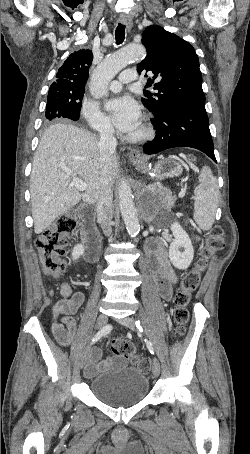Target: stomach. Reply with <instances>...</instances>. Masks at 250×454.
<instances>
[{"label":"stomach","mask_w":250,"mask_h":454,"mask_svg":"<svg viewBox=\"0 0 250 454\" xmlns=\"http://www.w3.org/2000/svg\"><path fill=\"white\" fill-rule=\"evenodd\" d=\"M132 162L133 165L143 171H148L150 169L148 161L144 158L133 159ZM153 172L158 175L159 178L174 177L179 176L182 173V167L172 158H162L156 163Z\"/></svg>","instance_id":"stomach-1"}]
</instances>
